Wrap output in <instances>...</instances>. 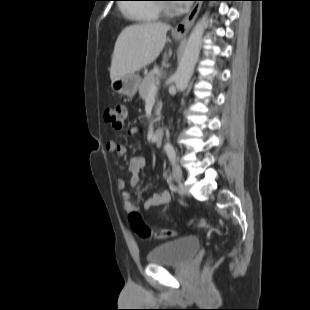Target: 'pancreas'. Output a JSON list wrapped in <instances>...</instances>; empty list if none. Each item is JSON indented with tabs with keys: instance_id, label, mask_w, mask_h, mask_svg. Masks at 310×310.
I'll list each match as a JSON object with an SVG mask.
<instances>
[{
	"instance_id": "cf45deb5",
	"label": "pancreas",
	"mask_w": 310,
	"mask_h": 310,
	"mask_svg": "<svg viewBox=\"0 0 310 310\" xmlns=\"http://www.w3.org/2000/svg\"><path fill=\"white\" fill-rule=\"evenodd\" d=\"M157 81L156 75L154 73H149L139 85V95L143 100H146L149 95V89ZM161 103H158V108L156 109V114L160 113Z\"/></svg>"
}]
</instances>
